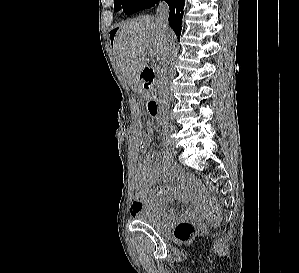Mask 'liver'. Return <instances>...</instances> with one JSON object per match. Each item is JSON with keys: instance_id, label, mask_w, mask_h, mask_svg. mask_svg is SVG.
Here are the masks:
<instances>
[{"instance_id": "obj_1", "label": "liver", "mask_w": 299, "mask_h": 273, "mask_svg": "<svg viewBox=\"0 0 299 273\" xmlns=\"http://www.w3.org/2000/svg\"><path fill=\"white\" fill-rule=\"evenodd\" d=\"M175 36L169 29L163 33L157 18L141 16L119 26L114 38L113 52L122 76L134 91L138 89L139 75L147 65V55L161 59L169 40Z\"/></svg>"}]
</instances>
